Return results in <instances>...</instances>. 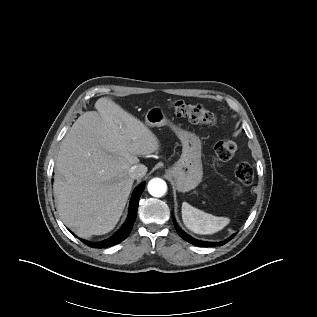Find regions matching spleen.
<instances>
[{
    "label": "spleen",
    "instance_id": "3e777b00",
    "mask_svg": "<svg viewBox=\"0 0 317 317\" xmlns=\"http://www.w3.org/2000/svg\"><path fill=\"white\" fill-rule=\"evenodd\" d=\"M182 219L185 226L197 234H213L222 230L230 222L227 217H217L182 203Z\"/></svg>",
    "mask_w": 317,
    "mask_h": 317
}]
</instances>
